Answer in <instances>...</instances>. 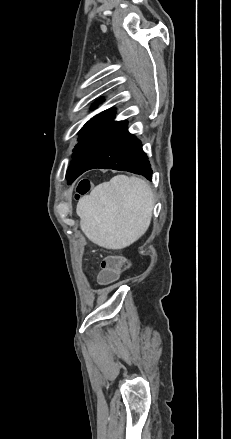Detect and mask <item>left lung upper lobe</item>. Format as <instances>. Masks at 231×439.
Wrapping results in <instances>:
<instances>
[{
	"mask_svg": "<svg viewBox=\"0 0 231 439\" xmlns=\"http://www.w3.org/2000/svg\"><path fill=\"white\" fill-rule=\"evenodd\" d=\"M102 100L97 101L100 103ZM96 104L93 105V108ZM115 109H108L90 119L82 128L72 161L66 173L68 183L74 181L94 160L99 149L122 121H114Z\"/></svg>",
	"mask_w": 231,
	"mask_h": 439,
	"instance_id": "1",
	"label": "left lung upper lobe"
}]
</instances>
